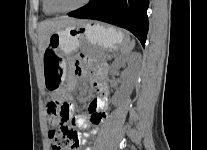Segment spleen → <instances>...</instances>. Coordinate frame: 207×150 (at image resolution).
Wrapping results in <instances>:
<instances>
[{"mask_svg":"<svg viewBox=\"0 0 207 150\" xmlns=\"http://www.w3.org/2000/svg\"><path fill=\"white\" fill-rule=\"evenodd\" d=\"M134 46H135V40H131V41L129 40V42L124 46H122L119 50L121 54L126 55L131 52Z\"/></svg>","mask_w":207,"mask_h":150,"instance_id":"spleen-1","label":"spleen"}]
</instances>
